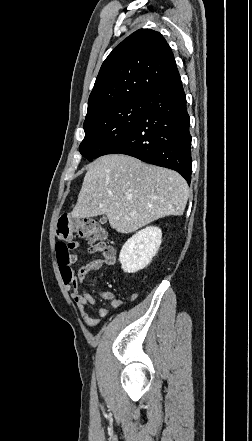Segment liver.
Returning a JSON list of instances; mask_svg holds the SVG:
<instances>
[{
	"label": "liver",
	"mask_w": 252,
	"mask_h": 441,
	"mask_svg": "<svg viewBox=\"0 0 252 441\" xmlns=\"http://www.w3.org/2000/svg\"><path fill=\"white\" fill-rule=\"evenodd\" d=\"M188 197L179 173L128 155H104L89 166L71 216L105 214L112 229L128 234L159 218L181 216Z\"/></svg>",
	"instance_id": "1"
}]
</instances>
